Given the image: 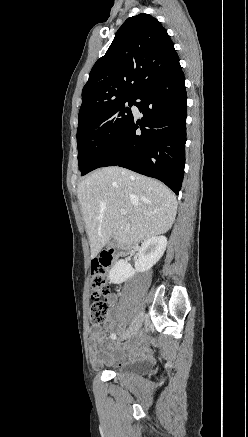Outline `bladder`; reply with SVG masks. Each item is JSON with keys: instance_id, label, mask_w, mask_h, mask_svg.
Wrapping results in <instances>:
<instances>
[{"instance_id": "31cf9c89", "label": "bladder", "mask_w": 248, "mask_h": 437, "mask_svg": "<svg viewBox=\"0 0 248 437\" xmlns=\"http://www.w3.org/2000/svg\"><path fill=\"white\" fill-rule=\"evenodd\" d=\"M148 371V368L144 364H130L122 367H117L114 369V372L117 375H145Z\"/></svg>"}]
</instances>
